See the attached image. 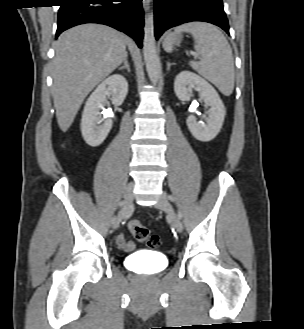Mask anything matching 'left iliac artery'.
Segmentation results:
<instances>
[{
	"label": "left iliac artery",
	"mask_w": 304,
	"mask_h": 329,
	"mask_svg": "<svg viewBox=\"0 0 304 329\" xmlns=\"http://www.w3.org/2000/svg\"><path fill=\"white\" fill-rule=\"evenodd\" d=\"M168 198H169V200L172 201V202L175 201V198H174L172 195H169ZM178 217H179V218H182V213H181L180 211L178 212Z\"/></svg>",
	"instance_id": "1"
}]
</instances>
